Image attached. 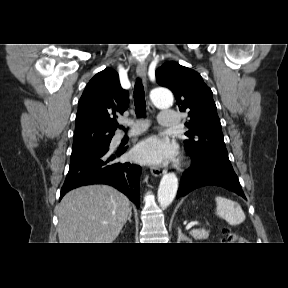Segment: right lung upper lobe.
<instances>
[{
    "mask_svg": "<svg viewBox=\"0 0 288 288\" xmlns=\"http://www.w3.org/2000/svg\"><path fill=\"white\" fill-rule=\"evenodd\" d=\"M128 105L129 94L122 89L117 72L106 68L97 73L78 103L72 149L111 141L116 130L115 116L122 114Z\"/></svg>",
    "mask_w": 288,
    "mask_h": 288,
    "instance_id": "right-lung-upper-lobe-1",
    "label": "right lung upper lobe"
}]
</instances>
